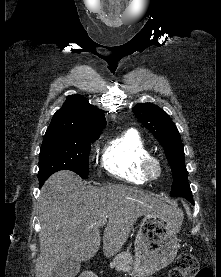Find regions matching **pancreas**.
Wrapping results in <instances>:
<instances>
[{
	"label": "pancreas",
	"instance_id": "cf45deb5",
	"mask_svg": "<svg viewBox=\"0 0 221 277\" xmlns=\"http://www.w3.org/2000/svg\"><path fill=\"white\" fill-rule=\"evenodd\" d=\"M133 263V258L129 252H122L118 254L110 266L120 268V269H129L130 265Z\"/></svg>",
	"mask_w": 221,
	"mask_h": 277
}]
</instances>
